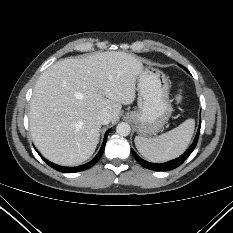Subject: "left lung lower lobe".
Segmentation results:
<instances>
[{
    "label": "left lung lower lobe",
    "mask_w": 233,
    "mask_h": 233,
    "mask_svg": "<svg viewBox=\"0 0 233 233\" xmlns=\"http://www.w3.org/2000/svg\"><path fill=\"white\" fill-rule=\"evenodd\" d=\"M200 126L198 128L196 137L193 141V143L191 144V146L187 149V151L182 154L180 157L171 160L169 162L166 163H161V164H156V163H150L147 162L145 160H143L141 157H139L134 150H132V153L135 157V159L145 168L150 169V170H155V171H167V170H172L177 168L178 166H180L187 158L188 156L192 153V151L195 149L198 138H199V132H200Z\"/></svg>",
    "instance_id": "obj_1"
}]
</instances>
